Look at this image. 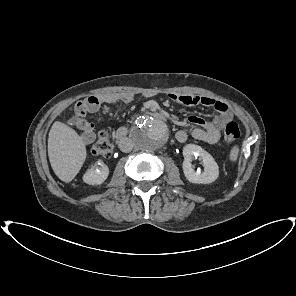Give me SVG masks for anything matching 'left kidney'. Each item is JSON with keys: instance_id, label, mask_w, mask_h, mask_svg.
<instances>
[{"instance_id": "5707ae66", "label": "left kidney", "mask_w": 296, "mask_h": 296, "mask_svg": "<svg viewBox=\"0 0 296 296\" xmlns=\"http://www.w3.org/2000/svg\"><path fill=\"white\" fill-rule=\"evenodd\" d=\"M183 172L186 179L191 183L209 184L214 182L219 176V167L214 158L200 146L187 144L183 147ZM194 157L202 160L204 170L195 171L191 161Z\"/></svg>"}]
</instances>
